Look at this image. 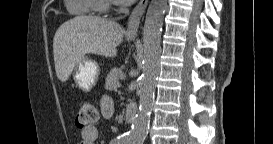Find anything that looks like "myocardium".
Here are the masks:
<instances>
[{"label": "myocardium", "instance_id": "obj_1", "mask_svg": "<svg viewBox=\"0 0 273 144\" xmlns=\"http://www.w3.org/2000/svg\"><path fill=\"white\" fill-rule=\"evenodd\" d=\"M93 8L99 12H107L111 8V2L109 0H94Z\"/></svg>", "mask_w": 273, "mask_h": 144}]
</instances>
